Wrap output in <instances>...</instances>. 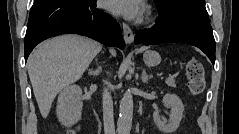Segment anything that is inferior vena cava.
<instances>
[{
  "mask_svg": "<svg viewBox=\"0 0 239 134\" xmlns=\"http://www.w3.org/2000/svg\"><path fill=\"white\" fill-rule=\"evenodd\" d=\"M102 103H103L104 132L105 134H115L113 101L107 89H104Z\"/></svg>",
  "mask_w": 239,
  "mask_h": 134,
  "instance_id": "602c4592",
  "label": "inferior vena cava"
}]
</instances>
